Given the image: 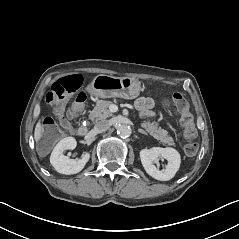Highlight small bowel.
Segmentation results:
<instances>
[{
  "label": "small bowel",
  "mask_w": 239,
  "mask_h": 239,
  "mask_svg": "<svg viewBox=\"0 0 239 239\" xmlns=\"http://www.w3.org/2000/svg\"><path fill=\"white\" fill-rule=\"evenodd\" d=\"M135 106L143 115H153L154 101L151 98L140 97L136 100Z\"/></svg>",
  "instance_id": "small-bowel-1"
}]
</instances>
